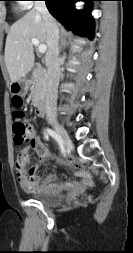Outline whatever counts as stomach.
<instances>
[{
  "mask_svg": "<svg viewBox=\"0 0 133 253\" xmlns=\"http://www.w3.org/2000/svg\"><path fill=\"white\" fill-rule=\"evenodd\" d=\"M29 86V82L25 78L19 79L10 86V91L14 94H25Z\"/></svg>",
  "mask_w": 133,
  "mask_h": 253,
  "instance_id": "stomach-1",
  "label": "stomach"
}]
</instances>
